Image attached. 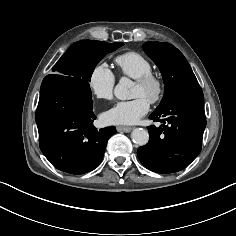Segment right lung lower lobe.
Segmentation results:
<instances>
[{
    "instance_id": "98d812e1",
    "label": "right lung lower lobe",
    "mask_w": 236,
    "mask_h": 236,
    "mask_svg": "<svg viewBox=\"0 0 236 236\" xmlns=\"http://www.w3.org/2000/svg\"><path fill=\"white\" fill-rule=\"evenodd\" d=\"M91 93L64 77L45 78L35 115L40 149L58 170L84 174L101 162L114 126H93Z\"/></svg>"
}]
</instances>
